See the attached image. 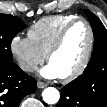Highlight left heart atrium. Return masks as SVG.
Listing matches in <instances>:
<instances>
[{"instance_id": "left-heart-atrium-1", "label": "left heart atrium", "mask_w": 107, "mask_h": 107, "mask_svg": "<svg viewBox=\"0 0 107 107\" xmlns=\"http://www.w3.org/2000/svg\"><path fill=\"white\" fill-rule=\"evenodd\" d=\"M40 74L48 79H55L60 77L58 71L50 63L41 69Z\"/></svg>"}]
</instances>
